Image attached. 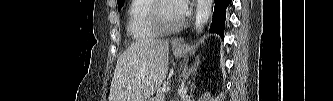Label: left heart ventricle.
Wrapping results in <instances>:
<instances>
[{
    "label": "left heart ventricle",
    "instance_id": "left-heart-ventricle-1",
    "mask_svg": "<svg viewBox=\"0 0 333 101\" xmlns=\"http://www.w3.org/2000/svg\"><path fill=\"white\" fill-rule=\"evenodd\" d=\"M182 16H180L174 8L173 3L165 2L161 8V18L164 25L172 26L176 24Z\"/></svg>",
    "mask_w": 333,
    "mask_h": 101
}]
</instances>
